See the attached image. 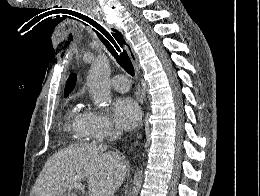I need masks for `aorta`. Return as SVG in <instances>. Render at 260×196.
<instances>
[{"mask_svg": "<svg viewBox=\"0 0 260 196\" xmlns=\"http://www.w3.org/2000/svg\"><path fill=\"white\" fill-rule=\"evenodd\" d=\"M110 62L106 55L99 54L91 64L88 75V86L91 98L99 107L108 106L111 102ZM141 174L139 170L135 173L133 180L132 196H137L141 187Z\"/></svg>", "mask_w": 260, "mask_h": 196, "instance_id": "1", "label": "aorta"}]
</instances>
